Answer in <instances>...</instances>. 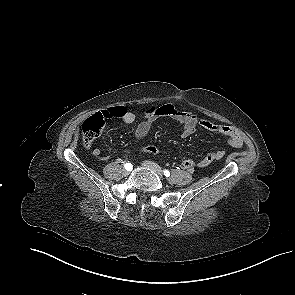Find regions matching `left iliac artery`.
Returning <instances> with one entry per match:
<instances>
[{
    "label": "left iliac artery",
    "instance_id": "1",
    "mask_svg": "<svg viewBox=\"0 0 295 295\" xmlns=\"http://www.w3.org/2000/svg\"><path fill=\"white\" fill-rule=\"evenodd\" d=\"M163 173L166 177H169L170 176V172L168 170H163Z\"/></svg>",
    "mask_w": 295,
    "mask_h": 295
}]
</instances>
